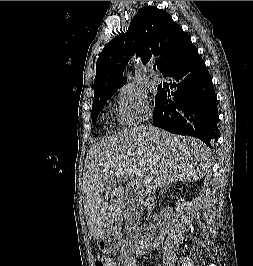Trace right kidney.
I'll list each match as a JSON object with an SVG mask.
<instances>
[{"label":"right kidney","mask_w":253,"mask_h":266,"mask_svg":"<svg viewBox=\"0 0 253 266\" xmlns=\"http://www.w3.org/2000/svg\"><path fill=\"white\" fill-rule=\"evenodd\" d=\"M151 228L138 227L135 237H134V245L132 246V250L136 253V255H145L147 251L152 248H158L161 244L162 237L156 239L152 242V235L150 233Z\"/></svg>","instance_id":"ca27d5eb"}]
</instances>
